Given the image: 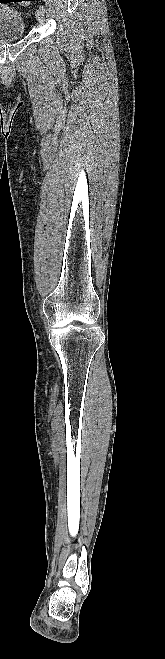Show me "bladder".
Here are the masks:
<instances>
[{"instance_id":"31cf9c89","label":"bladder","mask_w":165,"mask_h":659,"mask_svg":"<svg viewBox=\"0 0 165 659\" xmlns=\"http://www.w3.org/2000/svg\"><path fill=\"white\" fill-rule=\"evenodd\" d=\"M25 25L21 16L10 8L0 6V42L24 37Z\"/></svg>"}]
</instances>
